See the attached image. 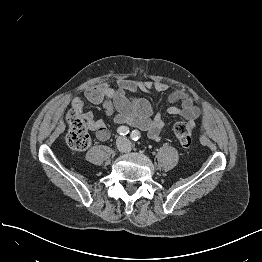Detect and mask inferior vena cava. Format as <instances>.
Wrapping results in <instances>:
<instances>
[{
  "label": "inferior vena cava",
  "instance_id": "1",
  "mask_svg": "<svg viewBox=\"0 0 262 262\" xmlns=\"http://www.w3.org/2000/svg\"><path fill=\"white\" fill-rule=\"evenodd\" d=\"M123 141H124V143H125V146H119V149H120L121 151H127L128 148L130 147V142H129V140L126 139V138H123Z\"/></svg>",
  "mask_w": 262,
  "mask_h": 262
}]
</instances>
